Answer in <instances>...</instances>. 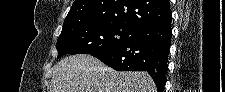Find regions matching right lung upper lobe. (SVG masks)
<instances>
[{
	"label": "right lung upper lobe",
	"instance_id": "1",
	"mask_svg": "<svg viewBox=\"0 0 225 92\" xmlns=\"http://www.w3.org/2000/svg\"><path fill=\"white\" fill-rule=\"evenodd\" d=\"M171 20L169 0H75L62 30L86 22H119L139 29Z\"/></svg>",
	"mask_w": 225,
	"mask_h": 92
}]
</instances>
